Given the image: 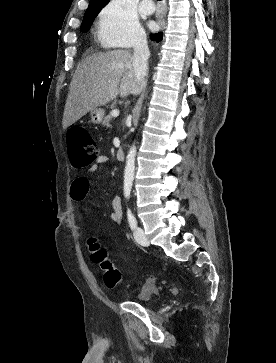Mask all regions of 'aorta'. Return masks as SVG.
I'll return each instance as SVG.
<instances>
[{"instance_id": "762f6f07", "label": "aorta", "mask_w": 276, "mask_h": 363, "mask_svg": "<svg viewBox=\"0 0 276 363\" xmlns=\"http://www.w3.org/2000/svg\"><path fill=\"white\" fill-rule=\"evenodd\" d=\"M135 157H136V147L133 145L128 153L126 166L124 171V196L128 198L131 193L132 183L135 174Z\"/></svg>"}]
</instances>
